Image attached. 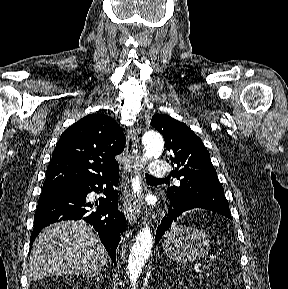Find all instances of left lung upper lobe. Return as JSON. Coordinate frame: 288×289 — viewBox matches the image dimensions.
Segmentation results:
<instances>
[{"label":"left lung upper lobe","instance_id":"obj_1","mask_svg":"<svg viewBox=\"0 0 288 289\" xmlns=\"http://www.w3.org/2000/svg\"><path fill=\"white\" fill-rule=\"evenodd\" d=\"M151 125L162 133L175 165L171 175L180 180V186L167 189L170 202L198 205L231 217L224 189L201 138L184 123L164 114L154 115Z\"/></svg>","mask_w":288,"mask_h":289}]
</instances>
